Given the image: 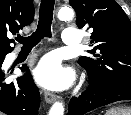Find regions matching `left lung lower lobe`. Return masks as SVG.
Listing matches in <instances>:
<instances>
[{"label": "left lung lower lobe", "mask_w": 131, "mask_h": 115, "mask_svg": "<svg viewBox=\"0 0 131 115\" xmlns=\"http://www.w3.org/2000/svg\"><path fill=\"white\" fill-rule=\"evenodd\" d=\"M121 100H131V86H104L93 83L79 97L71 98L67 115H84L98 107Z\"/></svg>", "instance_id": "1"}]
</instances>
